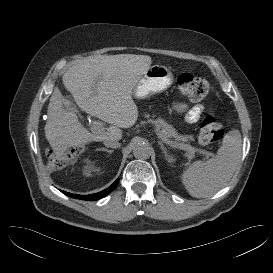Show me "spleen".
<instances>
[{
	"mask_svg": "<svg viewBox=\"0 0 273 273\" xmlns=\"http://www.w3.org/2000/svg\"><path fill=\"white\" fill-rule=\"evenodd\" d=\"M241 148L240 132L229 131L215 157L207 161H195L182 173L181 181L188 193L195 198H205L224 187L237 168Z\"/></svg>",
	"mask_w": 273,
	"mask_h": 273,
	"instance_id": "3e777b00",
	"label": "spleen"
}]
</instances>
